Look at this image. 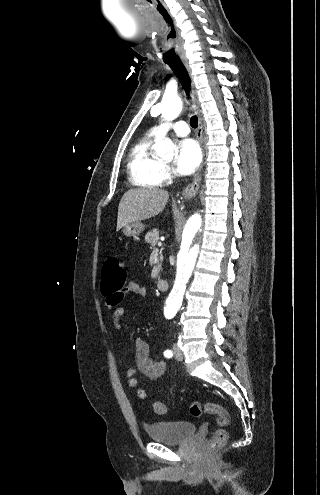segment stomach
I'll list each match as a JSON object with an SVG mask.
<instances>
[{
    "mask_svg": "<svg viewBox=\"0 0 320 495\" xmlns=\"http://www.w3.org/2000/svg\"><path fill=\"white\" fill-rule=\"evenodd\" d=\"M145 229L144 224H142L140 221H135L128 223L123 227V233L126 236H137L140 235Z\"/></svg>",
    "mask_w": 320,
    "mask_h": 495,
    "instance_id": "obj_1",
    "label": "stomach"
}]
</instances>
